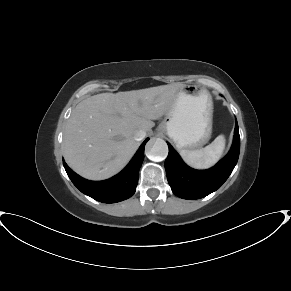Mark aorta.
I'll use <instances>...</instances> for the list:
<instances>
[{"mask_svg": "<svg viewBox=\"0 0 291 291\" xmlns=\"http://www.w3.org/2000/svg\"><path fill=\"white\" fill-rule=\"evenodd\" d=\"M146 155L152 161L164 160L168 155L167 143L161 138L150 140L146 145Z\"/></svg>", "mask_w": 291, "mask_h": 291, "instance_id": "762f6f07", "label": "aorta"}]
</instances>
